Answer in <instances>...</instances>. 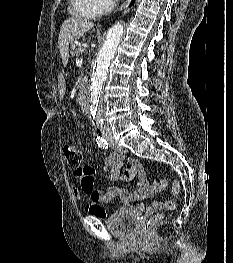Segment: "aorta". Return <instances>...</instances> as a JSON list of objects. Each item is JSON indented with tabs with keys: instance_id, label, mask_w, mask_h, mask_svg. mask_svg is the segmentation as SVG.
<instances>
[{
	"instance_id": "762f6f07",
	"label": "aorta",
	"mask_w": 233,
	"mask_h": 263,
	"mask_svg": "<svg viewBox=\"0 0 233 263\" xmlns=\"http://www.w3.org/2000/svg\"><path fill=\"white\" fill-rule=\"evenodd\" d=\"M123 33L124 26L120 23L113 25L109 29L106 41L96 58L90 84L84 91L82 97L83 107L89 111L92 120L95 122H97L102 115V94L108 66L114 57Z\"/></svg>"
}]
</instances>
